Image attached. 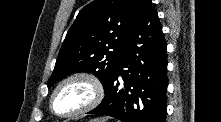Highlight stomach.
Here are the masks:
<instances>
[{"mask_svg": "<svg viewBox=\"0 0 221 122\" xmlns=\"http://www.w3.org/2000/svg\"><path fill=\"white\" fill-rule=\"evenodd\" d=\"M106 121H107V118H97V119L91 120L90 122H106Z\"/></svg>", "mask_w": 221, "mask_h": 122, "instance_id": "stomach-1", "label": "stomach"}]
</instances>
